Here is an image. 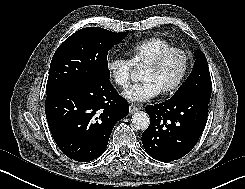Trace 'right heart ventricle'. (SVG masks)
<instances>
[{
    "mask_svg": "<svg viewBox=\"0 0 245 189\" xmlns=\"http://www.w3.org/2000/svg\"><path fill=\"white\" fill-rule=\"evenodd\" d=\"M171 47V44L162 37H149L132 43L126 50V55L132 66L143 67L158 53Z\"/></svg>",
    "mask_w": 245,
    "mask_h": 189,
    "instance_id": "right-heart-ventricle-1",
    "label": "right heart ventricle"
}]
</instances>
